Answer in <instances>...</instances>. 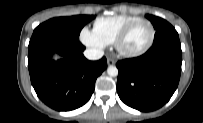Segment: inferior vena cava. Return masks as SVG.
Returning a JSON list of instances; mask_svg holds the SVG:
<instances>
[{
  "label": "inferior vena cava",
  "instance_id": "1",
  "mask_svg": "<svg viewBox=\"0 0 203 123\" xmlns=\"http://www.w3.org/2000/svg\"><path fill=\"white\" fill-rule=\"evenodd\" d=\"M103 55L104 51L99 49H86L84 51V56L89 60H98L102 58Z\"/></svg>",
  "mask_w": 203,
  "mask_h": 123
}]
</instances>
